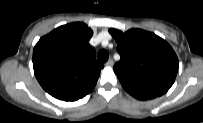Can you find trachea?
Listing matches in <instances>:
<instances>
[{
	"label": "trachea",
	"mask_w": 203,
	"mask_h": 123,
	"mask_svg": "<svg viewBox=\"0 0 203 123\" xmlns=\"http://www.w3.org/2000/svg\"><path fill=\"white\" fill-rule=\"evenodd\" d=\"M109 53L106 50H100L97 54V59L100 62H106L108 60Z\"/></svg>",
	"instance_id": "1"
}]
</instances>
